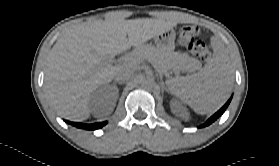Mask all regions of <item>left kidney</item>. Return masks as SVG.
Here are the masks:
<instances>
[{
    "label": "left kidney",
    "instance_id": "obj_1",
    "mask_svg": "<svg viewBox=\"0 0 279 166\" xmlns=\"http://www.w3.org/2000/svg\"><path fill=\"white\" fill-rule=\"evenodd\" d=\"M180 110H181L180 106H177V109H174V108H173V111H174L175 113L179 112Z\"/></svg>",
    "mask_w": 279,
    "mask_h": 166
}]
</instances>
